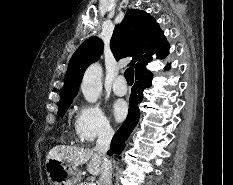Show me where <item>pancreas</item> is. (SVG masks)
I'll use <instances>...</instances> for the list:
<instances>
[{
	"label": "pancreas",
	"instance_id": "1",
	"mask_svg": "<svg viewBox=\"0 0 233 185\" xmlns=\"http://www.w3.org/2000/svg\"><path fill=\"white\" fill-rule=\"evenodd\" d=\"M78 185H88V183L87 182H82V183H80Z\"/></svg>",
	"mask_w": 233,
	"mask_h": 185
}]
</instances>
